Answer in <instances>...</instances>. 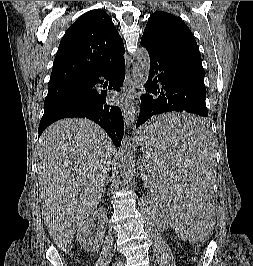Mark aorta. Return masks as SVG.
<instances>
[{
    "instance_id": "1",
    "label": "aorta",
    "mask_w": 253,
    "mask_h": 266,
    "mask_svg": "<svg viewBox=\"0 0 253 266\" xmlns=\"http://www.w3.org/2000/svg\"><path fill=\"white\" fill-rule=\"evenodd\" d=\"M135 62L133 64V80L136 85L146 84L149 76L150 57L144 48H138L134 53ZM118 168L122 183L128 184L132 181L135 173V153L133 143L128 137H124L118 151Z\"/></svg>"
}]
</instances>
